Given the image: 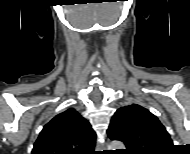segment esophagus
<instances>
[{
	"instance_id": "1",
	"label": "esophagus",
	"mask_w": 190,
	"mask_h": 154,
	"mask_svg": "<svg viewBox=\"0 0 190 154\" xmlns=\"http://www.w3.org/2000/svg\"><path fill=\"white\" fill-rule=\"evenodd\" d=\"M104 149H105V147H104L103 144H101V143H97L96 144V150H97V152L102 153L104 151Z\"/></svg>"
}]
</instances>
